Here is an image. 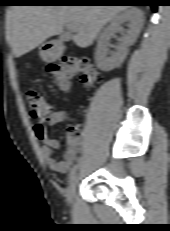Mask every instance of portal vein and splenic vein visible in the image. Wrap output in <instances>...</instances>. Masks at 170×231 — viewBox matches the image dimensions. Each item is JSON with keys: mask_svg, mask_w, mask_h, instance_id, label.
<instances>
[{"mask_svg": "<svg viewBox=\"0 0 170 231\" xmlns=\"http://www.w3.org/2000/svg\"><path fill=\"white\" fill-rule=\"evenodd\" d=\"M67 28H68L70 31L74 32V29H73L72 27H70L69 25H67Z\"/></svg>", "mask_w": 170, "mask_h": 231, "instance_id": "obj_1", "label": "portal vein and splenic vein"}]
</instances>
